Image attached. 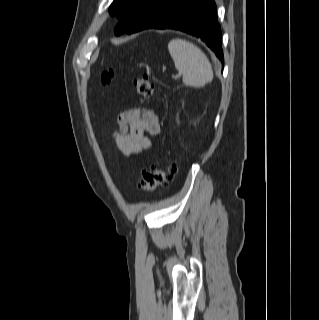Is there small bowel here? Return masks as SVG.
<instances>
[{
	"label": "small bowel",
	"mask_w": 319,
	"mask_h": 320,
	"mask_svg": "<svg viewBox=\"0 0 319 320\" xmlns=\"http://www.w3.org/2000/svg\"><path fill=\"white\" fill-rule=\"evenodd\" d=\"M160 133L157 114L149 109L138 107L121 113L118 117V130L112 133L119 152L131 156L148 150L151 138Z\"/></svg>",
	"instance_id": "1"
}]
</instances>
